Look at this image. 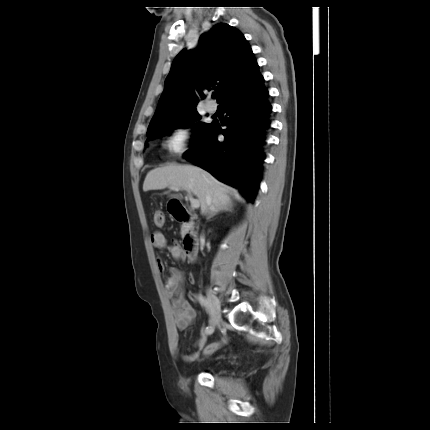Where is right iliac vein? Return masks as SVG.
<instances>
[{"instance_id": "right-iliac-vein-1", "label": "right iliac vein", "mask_w": 430, "mask_h": 430, "mask_svg": "<svg viewBox=\"0 0 430 430\" xmlns=\"http://www.w3.org/2000/svg\"><path fill=\"white\" fill-rule=\"evenodd\" d=\"M207 297H208L209 310L211 315V319H210L211 324H213L214 326H219L221 322V316L215 306V295L211 289H207Z\"/></svg>"}]
</instances>
